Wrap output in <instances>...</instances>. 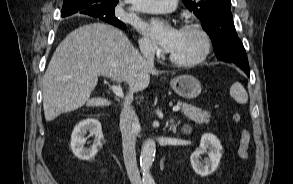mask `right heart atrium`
Here are the masks:
<instances>
[{"label":"right heart atrium","instance_id":"obj_1","mask_svg":"<svg viewBox=\"0 0 293 184\" xmlns=\"http://www.w3.org/2000/svg\"><path fill=\"white\" fill-rule=\"evenodd\" d=\"M139 46L141 51L146 55H155L158 53V47L156 44L148 37L142 36L139 40Z\"/></svg>","mask_w":293,"mask_h":184}]
</instances>
